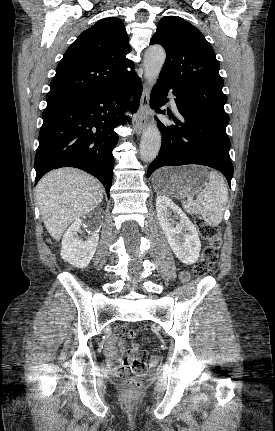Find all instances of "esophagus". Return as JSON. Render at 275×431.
<instances>
[{"instance_id":"1","label":"esophagus","mask_w":275,"mask_h":431,"mask_svg":"<svg viewBox=\"0 0 275 431\" xmlns=\"http://www.w3.org/2000/svg\"><path fill=\"white\" fill-rule=\"evenodd\" d=\"M149 97H150V87L149 85H146L143 90L141 104L138 109L136 120H135V129L138 135L142 133L147 123L146 114L149 108Z\"/></svg>"}]
</instances>
